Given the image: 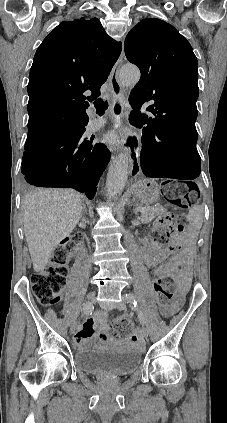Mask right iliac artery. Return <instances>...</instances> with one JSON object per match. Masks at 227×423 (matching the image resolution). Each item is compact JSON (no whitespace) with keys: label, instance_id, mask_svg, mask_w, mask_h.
<instances>
[{"label":"right iliac artery","instance_id":"obj_1","mask_svg":"<svg viewBox=\"0 0 227 423\" xmlns=\"http://www.w3.org/2000/svg\"><path fill=\"white\" fill-rule=\"evenodd\" d=\"M92 311H93V305L91 304V302L84 303L83 312L86 314H92ZM81 329H82V326L78 325L77 330L80 331Z\"/></svg>","mask_w":227,"mask_h":423}]
</instances>
